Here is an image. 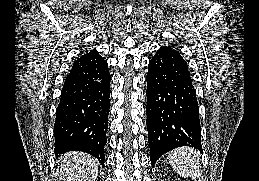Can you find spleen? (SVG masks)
I'll return each mask as SVG.
<instances>
[{
	"label": "spleen",
	"mask_w": 259,
	"mask_h": 181,
	"mask_svg": "<svg viewBox=\"0 0 259 181\" xmlns=\"http://www.w3.org/2000/svg\"><path fill=\"white\" fill-rule=\"evenodd\" d=\"M168 162L180 176H191L197 181L200 172V155L190 147H181L171 151L167 156Z\"/></svg>",
	"instance_id": "1"
}]
</instances>
